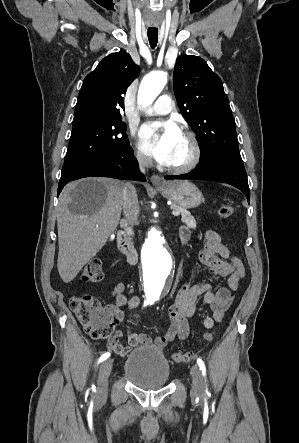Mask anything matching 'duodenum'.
Returning a JSON list of instances; mask_svg holds the SVG:
<instances>
[{
	"instance_id": "obj_1",
	"label": "duodenum",
	"mask_w": 299,
	"mask_h": 443,
	"mask_svg": "<svg viewBox=\"0 0 299 443\" xmlns=\"http://www.w3.org/2000/svg\"><path fill=\"white\" fill-rule=\"evenodd\" d=\"M116 243L119 250L126 255L129 264L134 265L137 261L136 249L130 244L126 233L119 230L116 234Z\"/></svg>"
}]
</instances>
